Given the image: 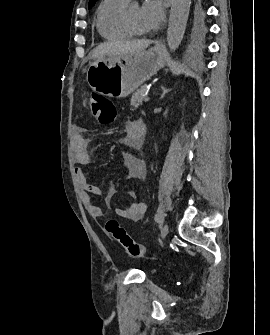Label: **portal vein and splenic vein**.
Instances as JSON below:
<instances>
[{
  "instance_id": "obj_1",
  "label": "portal vein and splenic vein",
  "mask_w": 270,
  "mask_h": 335,
  "mask_svg": "<svg viewBox=\"0 0 270 335\" xmlns=\"http://www.w3.org/2000/svg\"><path fill=\"white\" fill-rule=\"evenodd\" d=\"M147 94H148V90H147V92H145L144 96H147ZM144 100H145L146 102H148V101H150V98L146 97Z\"/></svg>"
}]
</instances>
